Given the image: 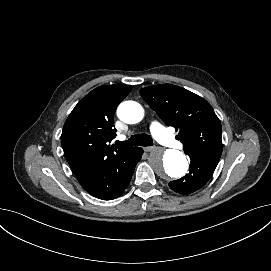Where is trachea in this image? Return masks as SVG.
<instances>
[{"label": "trachea", "mask_w": 271, "mask_h": 271, "mask_svg": "<svg viewBox=\"0 0 271 271\" xmlns=\"http://www.w3.org/2000/svg\"><path fill=\"white\" fill-rule=\"evenodd\" d=\"M115 144L117 146H152L153 145V140L152 137L148 134L142 133V134H137L133 135L128 139V141H116Z\"/></svg>", "instance_id": "3493384b"}]
</instances>
